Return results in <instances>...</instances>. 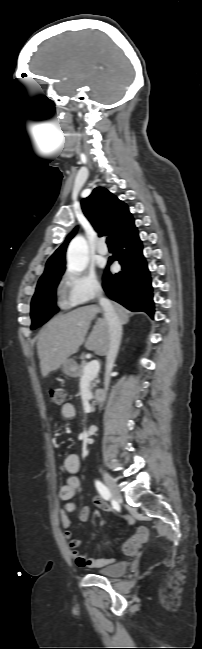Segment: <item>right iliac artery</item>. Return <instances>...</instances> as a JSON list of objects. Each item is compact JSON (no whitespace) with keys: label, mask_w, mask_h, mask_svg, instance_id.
I'll use <instances>...</instances> for the list:
<instances>
[{"label":"right iliac artery","mask_w":202,"mask_h":649,"mask_svg":"<svg viewBox=\"0 0 202 649\" xmlns=\"http://www.w3.org/2000/svg\"><path fill=\"white\" fill-rule=\"evenodd\" d=\"M95 486H96L98 492L100 493V495H101L105 500H109V499H110L111 494H110L108 488H107V487H106L102 482H100L99 480H96V482H95Z\"/></svg>","instance_id":"82829eb1"}]
</instances>
